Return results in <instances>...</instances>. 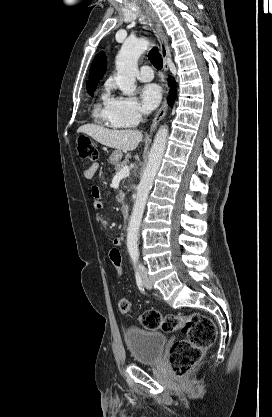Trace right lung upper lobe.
Masks as SVG:
<instances>
[{"instance_id":"right-lung-upper-lobe-1","label":"right lung upper lobe","mask_w":272,"mask_h":417,"mask_svg":"<svg viewBox=\"0 0 272 417\" xmlns=\"http://www.w3.org/2000/svg\"><path fill=\"white\" fill-rule=\"evenodd\" d=\"M106 70V58L103 52H100L94 59L92 67L89 72V80L87 82V89H96L97 81L103 77Z\"/></svg>"}]
</instances>
